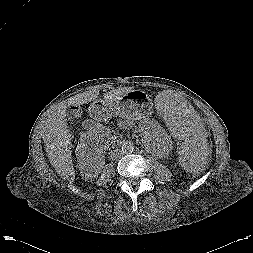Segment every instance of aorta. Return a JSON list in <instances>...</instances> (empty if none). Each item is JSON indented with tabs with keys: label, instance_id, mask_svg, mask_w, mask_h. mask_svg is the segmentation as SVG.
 <instances>
[{
	"label": "aorta",
	"instance_id": "762f6f07",
	"mask_svg": "<svg viewBox=\"0 0 253 253\" xmlns=\"http://www.w3.org/2000/svg\"><path fill=\"white\" fill-rule=\"evenodd\" d=\"M121 149H122V152L123 153H132L133 150H134V146L132 143L130 142H123L122 145H121ZM156 154V153H155Z\"/></svg>",
	"mask_w": 253,
	"mask_h": 253
}]
</instances>
